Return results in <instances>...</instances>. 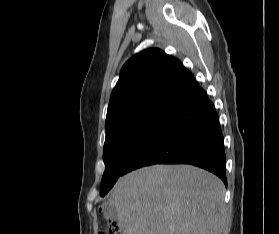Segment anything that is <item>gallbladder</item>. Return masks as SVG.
<instances>
[{"mask_svg":"<svg viewBox=\"0 0 279 234\" xmlns=\"http://www.w3.org/2000/svg\"><path fill=\"white\" fill-rule=\"evenodd\" d=\"M104 214L111 220H117V211L115 207L104 205L103 206Z\"/></svg>","mask_w":279,"mask_h":234,"instance_id":"gallbladder-1","label":"gallbladder"}]
</instances>
